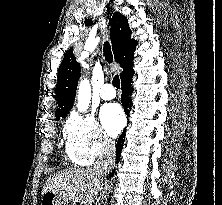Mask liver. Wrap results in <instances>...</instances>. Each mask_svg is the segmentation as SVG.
Wrapping results in <instances>:
<instances>
[{"label":"liver","mask_w":222,"mask_h":205,"mask_svg":"<svg viewBox=\"0 0 222 205\" xmlns=\"http://www.w3.org/2000/svg\"><path fill=\"white\" fill-rule=\"evenodd\" d=\"M102 180L94 169L71 168L50 177L42 192H55L64 201L92 205L102 189Z\"/></svg>","instance_id":"liver-1"}]
</instances>
